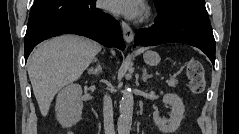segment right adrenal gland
Wrapping results in <instances>:
<instances>
[{
    "mask_svg": "<svg viewBox=\"0 0 239 134\" xmlns=\"http://www.w3.org/2000/svg\"><path fill=\"white\" fill-rule=\"evenodd\" d=\"M93 62L97 63L96 68L95 69L94 68L88 69V73L89 74H94V75L97 76V75H99L101 73L102 67H101V64L99 63L97 58H95Z\"/></svg>",
    "mask_w": 239,
    "mask_h": 134,
    "instance_id": "2a0ac1e0",
    "label": "right adrenal gland"
}]
</instances>
